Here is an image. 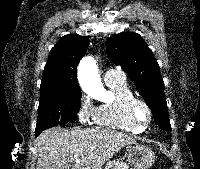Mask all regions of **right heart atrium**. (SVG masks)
<instances>
[{
  "instance_id": "right-heart-atrium-1",
  "label": "right heart atrium",
  "mask_w": 200,
  "mask_h": 169,
  "mask_svg": "<svg viewBox=\"0 0 200 169\" xmlns=\"http://www.w3.org/2000/svg\"><path fill=\"white\" fill-rule=\"evenodd\" d=\"M94 113L95 108L92 105L91 101L85 96L81 97L77 109L78 120L83 124L88 123L93 120Z\"/></svg>"
}]
</instances>
